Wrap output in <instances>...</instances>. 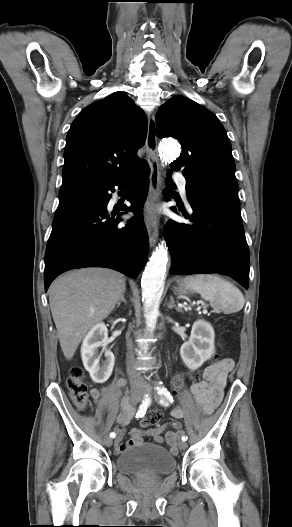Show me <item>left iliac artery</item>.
Instances as JSON below:
<instances>
[{"label":"left iliac artery","instance_id":"left-iliac-artery-1","mask_svg":"<svg viewBox=\"0 0 292 527\" xmlns=\"http://www.w3.org/2000/svg\"><path fill=\"white\" fill-rule=\"evenodd\" d=\"M156 390H157L158 395H160V397H161L160 403L162 405L167 406L169 401L173 402L172 395L170 394V392L167 390V388L161 382L156 384ZM187 439H188V437L186 435L182 436V441H187Z\"/></svg>","mask_w":292,"mask_h":527}]
</instances>
